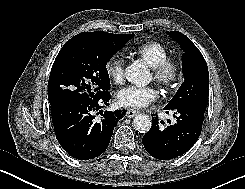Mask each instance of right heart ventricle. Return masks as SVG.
I'll use <instances>...</instances> for the list:
<instances>
[{"instance_id": "right-heart-ventricle-1", "label": "right heart ventricle", "mask_w": 245, "mask_h": 189, "mask_svg": "<svg viewBox=\"0 0 245 189\" xmlns=\"http://www.w3.org/2000/svg\"><path fill=\"white\" fill-rule=\"evenodd\" d=\"M132 52L144 59L151 68L169 58L168 50L158 42L142 43L136 46Z\"/></svg>"}]
</instances>
